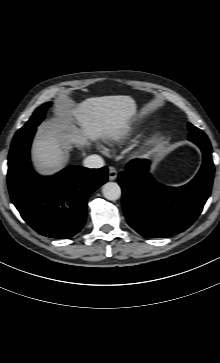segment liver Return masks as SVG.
I'll list each match as a JSON object with an SVG mask.
<instances>
[{
  "label": "liver",
  "instance_id": "6515ba94",
  "mask_svg": "<svg viewBox=\"0 0 220 363\" xmlns=\"http://www.w3.org/2000/svg\"><path fill=\"white\" fill-rule=\"evenodd\" d=\"M136 113V103L130 96L88 98L68 111V118L79 128L65 132L64 125L42 128L33 142L32 154L36 168L55 172L68 160L65 149L75 144L82 147L90 141L118 136ZM63 123L67 124L65 119Z\"/></svg>",
  "mask_w": 220,
  "mask_h": 363
}]
</instances>
